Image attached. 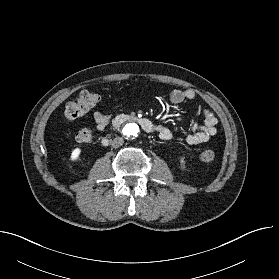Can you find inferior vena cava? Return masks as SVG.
Listing matches in <instances>:
<instances>
[{"mask_svg": "<svg viewBox=\"0 0 279 279\" xmlns=\"http://www.w3.org/2000/svg\"><path fill=\"white\" fill-rule=\"evenodd\" d=\"M123 143H124V140H123L122 137H116V138H114V139L111 141V145H112V147H114V148H117V147L122 146Z\"/></svg>", "mask_w": 279, "mask_h": 279, "instance_id": "602c4592", "label": "inferior vena cava"}]
</instances>
